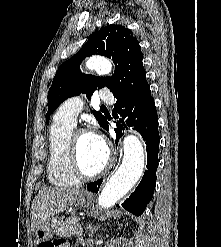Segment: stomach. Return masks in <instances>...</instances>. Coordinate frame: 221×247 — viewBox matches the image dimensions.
I'll return each instance as SVG.
<instances>
[{
  "instance_id": "1",
  "label": "stomach",
  "mask_w": 221,
  "mask_h": 247,
  "mask_svg": "<svg viewBox=\"0 0 221 247\" xmlns=\"http://www.w3.org/2000/svg\"><path fill=\"white\" fill-rule=\"evenodd\" d=\"M78 203L81 205H88L90 203V197L84 193H80L78 196ZM35 243L40 246L43 242L49 240L53 236V226L50 221H46L38 226L34 231Z\"/></svg>"
}]
</instances>
